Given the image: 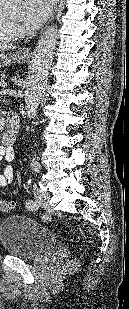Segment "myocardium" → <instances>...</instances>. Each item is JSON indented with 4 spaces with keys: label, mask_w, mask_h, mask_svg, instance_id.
Returning <instances> with one entry per match:
<instances>
[{
    "label": "myocardium",
    "mask_w": 129,
    "mask_h": 309,
    "mask_svg": "<svg viewBox=\"0 0 129 309\" xmlns=\"http://www.w3.org/2000/svg\"><path fill=\"white\" fill-rule=\"evenodd\" d=\"M11 27L16 31V32H20V26L19 24L13 22L11 19H8Z\"/></svg>",
    "instance_id": "myocardium-1"
}]
</instances>
